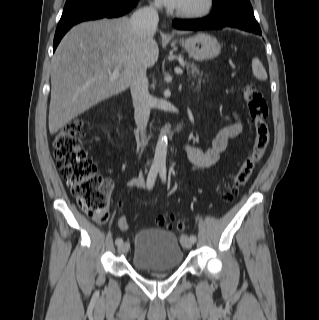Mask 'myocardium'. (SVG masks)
Instances as JSON below:
<instances>
[{"mask_svg":"<svg viewBox=\"0 0 319 320\" xmlns=\"http://www.w3.org/2000/svg\"><path fill=\"white\" fill-rule=\"evenodd\" d=\"M215 6V0H201L200 5L191 10H178L176 15L181 18L195 19L208 15Z\"/></svg>","mask_w":319,"mask_h":320,"instance_id":"myocardium-1","label":"myocardium"}]
</instances>
